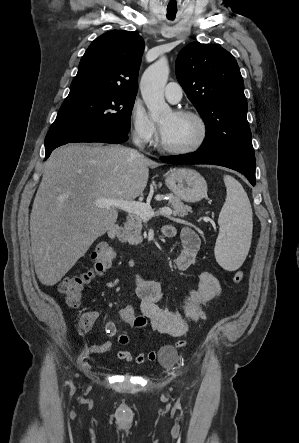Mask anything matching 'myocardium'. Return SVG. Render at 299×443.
<instances>
[{
  "label": "myocardium",
  "mask_w": 299,
  "mask_h": 443,
  "mask_svg": "<svg viewBox=\"0 0 299 443\" xmlns=\"http://www.w3.org/2000/svg\"><path fill=\"white\" fill-rule=\"evenodd\" d=\"M174 114L176 116L187 117L195 120L199 127V136L193 144L180 148L166 145L162 140V136H160L157 141L159 150L172 155H188L197 152L204 146L208 138V127L205 120L199 113L192 110H177L174 112Z\"/></svg>",
  "instance_id": "1"
}]
</instances>
